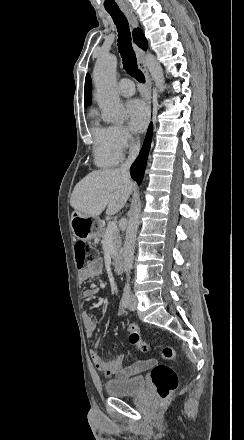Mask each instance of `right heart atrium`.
I'll return each instance as SVG.
<instances>
[{
	"label": "right heart atrium",
	"instance_id": "obj_1",
	"mask_svg": "<svg viewBox=\"0 0 244 440\" xmlns=\"http://www.w3.org/2000/svg\"><path fill=\"white\" fill-rule=\"evenodd\" d=\"M132 131L124 125H112L108 127V138L104 144L106 151H123L133 141Z\"/></svg>",
	"mask_w": 244,
	"mask_h": 440
}]
</instances>
